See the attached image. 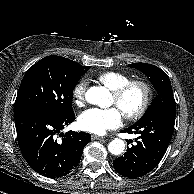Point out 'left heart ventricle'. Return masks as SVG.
Instances as JSON below:
<instances>
[{"label": "left heart ventricle", "instance_id": "left-heart-ventricle-1", "mask_svg": "<svg viewBox=\"0 0 194 194\" xmlns=\"http://www.w3.org/2000/svg\"><path fill=\"white\" fill-rule=\"evenodd\" d=\"M142 100L143 90L138 86L131 88L120 101H116L111 96V104L115 105L122 114L135 111L140 106Z\"/></svg>", "mask_w": 194, "mask_h": 194}]
</instances>
